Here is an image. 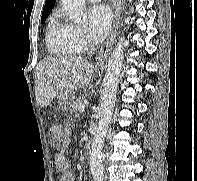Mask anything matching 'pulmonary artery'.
<instances>
[{"label": "pulmonary artery", "instance_id": "e3ab8cb5", "mask_svg": "<svg viewBox=\"0 0 197 181\" xmlns=\"http://www.w3.org/2000/svg\"><path fill=\"white\" fill-rule=\"evenodd\" d=\"M89 2H99L100 0H88Z\"/></svg>", "mask_w": 197, "mask_h": 181}]
</instances>
